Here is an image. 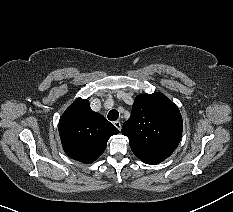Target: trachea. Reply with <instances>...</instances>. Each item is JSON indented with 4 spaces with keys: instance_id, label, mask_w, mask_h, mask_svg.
<instances>
[{
    "instance_id": "1",
    "label": "trachea",
    "mask_w": 233,
    "mask_h": 212,
    "mask_svg": "<svg viewBox=\"0 0 233 212\" xmlns=\"http://www.w3.org/2000/svg\"><path fill=\"white\" fill-rule=\"evenodd\" d=\"M108 119L110 120V121H115V120H117L118 119V117H119V112L117 111V110H115V109H113V110H111L109 113H108Z\"/></svg>"
}]
</instances>
